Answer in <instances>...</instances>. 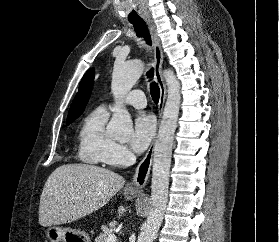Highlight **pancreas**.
Segmentation results:
<instances>
[{
	"label": "pancreas",
	"mask_w": 279,
	"mask_h": 242,
	"mask_svg": "<svg viewBox=\"0 0 279 242\" xmlns=\"http://www.w3.org/2000/svg\"><path fill=\"white\" fill-rule=\"evenodd\" d=\"M110 233H113V229H105L95 238V242H106V238Z\"/></svg>",
	"instance_id": "obj_1"
}]
</instances>
